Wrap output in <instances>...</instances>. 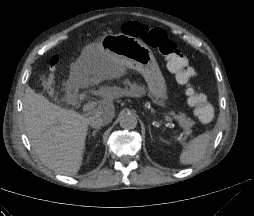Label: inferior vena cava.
<instances>
[{
	"mask_svg": "<svg viewBox=\"0 0 254 216\" xmlns=\"http://www.w3.org/2000/svg\"><path fill=\"white\" fill-rule=\"evenodd\" d=\"M110 121L103 117L102 115L95 113L88 119V124L91 128L100 129L103 125L109 123Z\"/></svg>",
	"mask_w": 254,
	"mask_h": 216,
	"instance_id": "602c4592",
	"label": "inferior vena cava"
}]
</instances>
